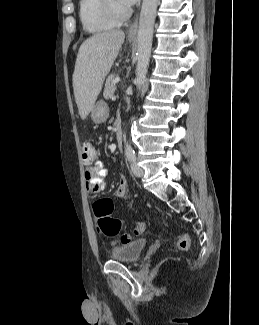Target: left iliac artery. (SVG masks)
I'll use <instances>...</instances> for the list:
<instances>
[{
    "label": "left iliac artery",
    "mask_w": 259,
    "mask_h": 325,
    "mask_svg": "<svg viewBox=\"0 0 259 325\" xmlns=\"http://www.w3.org/2000/svg\"><path fill=\"white\" fill-rule=\"evenodd\" d=\"M125 154L129 161H133L136 159L135 151L130 144L126 145Z\"/></svg>",
    "instance_id": "1"
}]
</instances>
